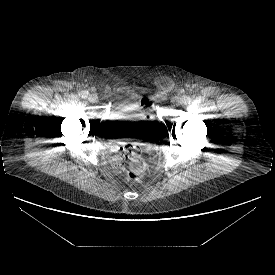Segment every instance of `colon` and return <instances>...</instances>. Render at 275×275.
Returning a JSON list of instances; mask_svg holds the SVG:
<instances>
[{
	"label": "colon",
	"instance_id": "1",
	"mask_svg": "<svg viewBox=\"0 0 275 275\" xmlns=\"http://www.w3.org/2000/svg\"><path fill=\"white\" fill-rule=\"evenodd\" d=\"M142 104L147 109L152 108L151 102L147 99H143ZM125 160L128 161L130 166L127 173L128 179L133 181L139 180L145 169V162L139 148L130 144L122 147L116 158L117 166L120 167L122 162Z\"/></svg>",
	"mask_w": 275,
	"mask_h": 275
}]
</instances>
